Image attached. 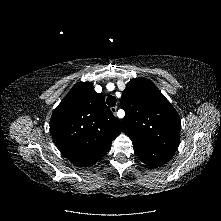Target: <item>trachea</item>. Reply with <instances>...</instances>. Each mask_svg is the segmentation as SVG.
I'll use <instances>...</instances> for the list:
<instances>
[{
    "mask_svg": "<svg viewBox=\"0 0 221 221\" xmlns=\"http://www.w3.org/2000/svg\"><path fill=\"white\" fill-rule=\"evenodd\" d=\"M116 102H117V100L114 96L107 97L106 103L108 106L114 107L116 105Z\"/></svg>",
    "mask_w": 221,
    "mask_h": 221,
    "instance_id": "obj_1",
    "label": "trachea"
}]
</instances>
